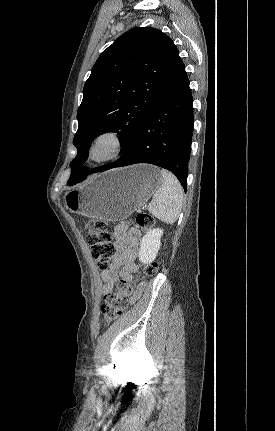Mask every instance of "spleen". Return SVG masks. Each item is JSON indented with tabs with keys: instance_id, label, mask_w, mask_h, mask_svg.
<instances>
[{
	"instance_id": "1",
	"label": "spleen",
	"mask_w": 275,
	"mask_h": 431,
	"mask_svg": "<svg viewBox=\"0 0 275 431\" xmlns=\"http://www.w3.org/2000/svg\"><path fill=\"white\" fill-rule=\"evenodd\" d=\"M161 184L149 204V211L167 224H173L179 217L183 202V189L178 179L169 171H160Z\"/></svg>"
}]
</instances>
